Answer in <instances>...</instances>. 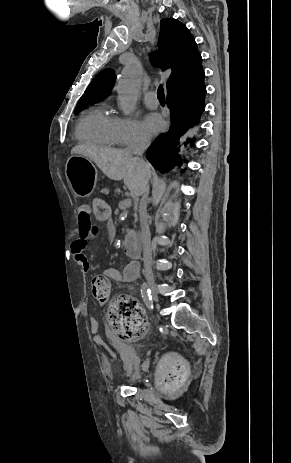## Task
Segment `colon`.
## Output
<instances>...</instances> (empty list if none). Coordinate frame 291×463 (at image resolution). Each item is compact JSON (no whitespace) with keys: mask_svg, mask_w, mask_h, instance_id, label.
Instances as JSON below:
<instances>
[{"mask_svg":"<svg viewBox=\"0 0 291 463\" xmlns=\"http://www.w3.org/2000/svg\"><path fill=\"white\" fill-rule=\"evenodd\" d=\"M95 214L104 219L109 214L105 201L94 202ZM91 292L96 301L106 303L111 296V282L104 276H95L91 282ZM108 319L112 331L119 337L132 340L141 337L146 331V317L137 300L126 297H114L109 305ZM185 363L180 359H172L168 365L167 382H176L185 374Z\"/></svg>","mask_w":291,"mask_h":463,"instance_id":"1","label":"colon"}]
</instances>
